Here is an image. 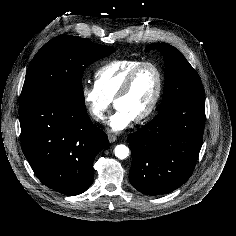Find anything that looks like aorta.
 <instances>
[{
	"instance_id": "obj_1",
	"label": "aorta",
	"mask_w": 236,
	"mask_h": 236,
	"mask_svg": "<svg viewBox=\"0 0 236 236\" xmlns=\"http://www.w3.org/2000/svg\"><path fill=\"white\" fill-rule=\"evenodd\" d=\"M115 156L121 160L125 159L129 155V148L123 144L117 145L115 147Z\"/></svg>"
}]
</instances>
